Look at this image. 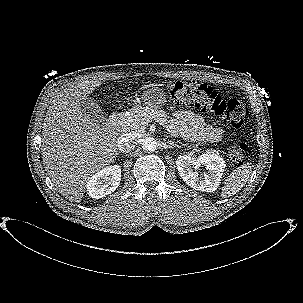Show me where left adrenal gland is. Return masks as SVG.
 <instances>
[{
    "mask_svg": "<svg viewBox=\"0 0 303 303\" xmlns=\"http://www.w3.org/2000/svg\"><path fill=\"white\" fill-rule=\"evenodd\" d=\"M167 143L169 144V146H176V147H180L178 144H176V143H174V142H172V141H167Z\"/></svg>",
    "mask_w": 303,
    "mask_h": 303,
    "instance_id": "1",
    "label": "left adrenal gland"
}]
</instances>
